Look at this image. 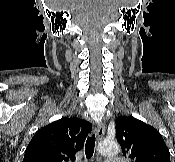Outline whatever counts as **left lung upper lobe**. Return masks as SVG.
Segmentation results:
<instances>
[{
  "mask_svg": "<svg viewBox=\"0 0 175 162\" xmlns=\"http://www.w3.org/2000/svg\"><path fill=\"white\" fill-rule=\"evenodd\" d=\"M116 137L123 155L132 162H170V153L161 134L134 117L116 120Z\"/></svg>",
  "mask_w": 175,
  "mask_h": 162,
  "instance_id": "obj_1",
  "label": "left lung upper lobe"
}]
</instances>
